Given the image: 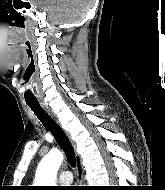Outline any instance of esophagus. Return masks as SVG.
<instances>
[{
    "label": "esophagus",
    "mask_w": 165,
    "mask_h": 190,
    "mask_svg": "<svg viewBox=\"0 0 165 190\" xmlns=\"http://www.w3.org/2000/svg\"><path fill=\"white\" fill-rule=\"evenodd\" d=\"M76 166H77L78 182L82 184L84 181V169H83L81 157L77 153H76Z\"/></svg>",
    "instance_id": "34e87169"
}]
</instances>
